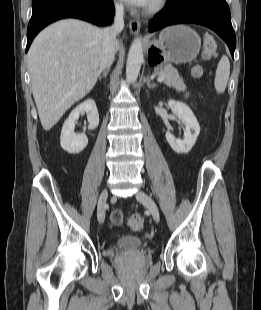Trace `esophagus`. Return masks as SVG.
Instances as JSON below:
<instances>
[{
  "label": "esophagus",
  "mask_w": 261,
  "mask_h": 310,
  "mask_svg": "<svg viewBox=\"0 0 261 310\" xmlns=\"http://www.w3.org/2000/svg\"><path fill=\"white\" fill-rule=\"evenodd\" d=\"M140 22L138 20H130L129 22V28H130V32L133 34V35H137L140 31Z\"/></svg>",
  "instance_id": "obj_1"
}]
</instances>
